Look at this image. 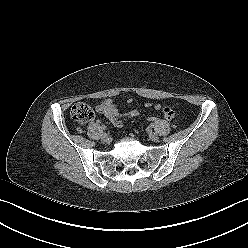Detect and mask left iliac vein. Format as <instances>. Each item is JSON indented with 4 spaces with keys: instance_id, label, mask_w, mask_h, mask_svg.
I'll return each instance as SVG.
<instances>
[{
    "instance_id": "obj_1",
    "label": "left iliac vein",
    "mask_w": 248,
    "mask_h": 248,
    "mask_svg": "<svg viewBox=\"0 0 248 248\" xmlns=\"http://www.w3.org/2000/svg\"><path fill=\"white\" fill-rule=\"evenodd\" d=\"M148 138L149 140L154 141V142L159 139L158 135L154 132L149 133Z\"/></svg>"
}]
</instances>
